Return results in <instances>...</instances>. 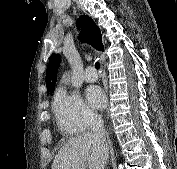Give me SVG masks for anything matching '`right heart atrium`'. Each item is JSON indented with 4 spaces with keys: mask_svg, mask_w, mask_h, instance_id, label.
Wrapping results in <instances>:
<instances>
[{
    "mask_svg": "<svg viewBox=\"0 0 177 169\" xmlns=\"http://www.w3.org/2000/svg\"><path fill=\"white\" fill-rule=\"evenodd\" d=\"M53 111L59 128L66 134H77L98 119L77 93L60 88L53 99Z\"/></svg>",
    "mask_w": 177,
    "mask_h": 169,
    "instance_id": "d8ad5b80",
    "label": "right heart atrium"
}]
</instances>
